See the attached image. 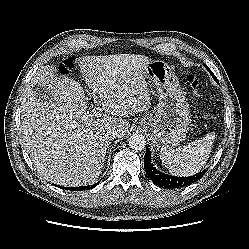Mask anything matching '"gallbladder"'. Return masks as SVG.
Here are the masks:
<instances>
[{
    "label": "gallbladder",
    "instance_id": "obj_1",
    "mask_svg": "<svg viewBox=\"0 0 249 249\" xmlns=\"http://www.w3.org/2000/svg\"><path fill=\"white\" fill-rule=\"evenodd\" d=\"M35 94L43 100H51V95L49 92L42 86L36 85L33 87Z\"/></svg>",
    "mask_w": 249,
    "mask_h": 249
}]
</instances>
